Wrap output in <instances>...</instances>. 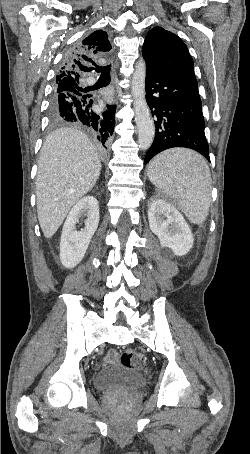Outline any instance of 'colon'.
Listing matches in <instances>:
<instances>
[{"mask_svg": "<svg viewBox=\"0 0 250 454\" xmlns=\"http://www.w3.org/2000/svg\"><path fill=\"white\" fill-rule=\"evenodd\" d=\"M120 361L124 367L134 370H141L145 363L143 355L134 349L123 350Z\"/></svg>", "mask_w": 250, "mask_h": 454, "instance_id": "colon-1", "label": "colon"}]
</instances>
